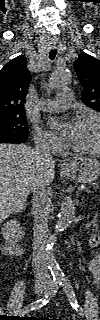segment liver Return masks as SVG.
<instances>
[{
    "instance_id": "liver-1",
    "label": "liver",
    "mask_w": 100,
    "mask_h": 320,
    "mask_svg": "<svg viewBox=\"0 0 100 320\" xmlns=\"http://www.w3.org/2000/svg\"><path fill=\"white\" fill-rule=\"evenodd\" d=\"M55 177L54 161H45L23 144L0 145V212L5 218L21 212L36 182L50 185Z\"/></svg>"
}]
</instances>
